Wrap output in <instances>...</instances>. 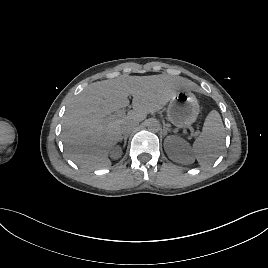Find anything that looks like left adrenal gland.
Masks as SVG:
<instances>
[{"label":"left adrenal gland","instance_id":"1","mask_svg":"<svg viewBox=\"0 0 268 268\" xmlns=\"http://www.w3.org/2000/svg\"><path fill=\"white\" fill-rule=\"evenodd\" d=\"M164 129H163V135L165 136V135H167V131L169 130L165 125H164V127H163Z\"/></svg>","mask_w":268,"mask_h":268}]
</instances>
